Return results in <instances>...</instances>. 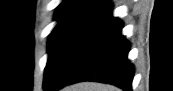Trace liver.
<instances>
[{"label": "liver", "mask_w": 173, "mask_h": 91, "mask_svg": "<svg viewBox=\"0 0 173 91\" xmlns=\"http://www.w3.org/2000/svg\"><path fill=\"white\" fill-rule=\"evenodd\" d=\"M62 91H120L115 86L94 83V82H83L77 83L71 86L63 88Z\"/></svg>", "instance_id": "1"}]
</instances>
